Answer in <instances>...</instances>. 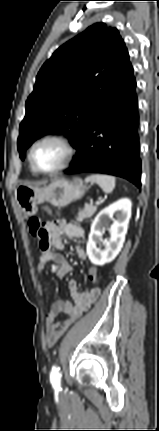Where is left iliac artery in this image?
<instances>
[{
    "label": "left iliac artery",
    "instance_id": "left-iliac-artery-1",
    "mask_svg": "<svg viewBox=\"0 0 159 431\" xmlns=\"http://www.w3.org/2000/svg\"><path fill=\"white\" fill-rule=\"evenodd\" d=\"M60 379H61V374L59 372V367L53 366L50 374V381L54 388L60 387Z\"/></svg>",
    "mask_w": 159,
    "mask_h": 431
}]
</instances>
